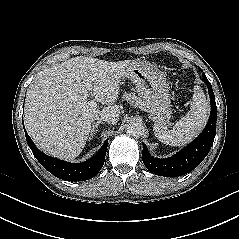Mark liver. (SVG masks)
<instances>
[{
    "label": "liver",
    "instance_id": "1",
    "mask_svg": "<svg viewBox=\"0 0 239 239\" xmlns=\"http://www.w3.org/2000/svg\"><path fill=\"white\" fill-rule=\"evenodd\" d=\"M130 63L78 56L39 72L27 91L24 111L26 130L39 149L74 160L88 140L95 116L108 115L116 123L120 110L114 103ZM89 96L108 107H91Z\"/></svg>",
    "mask_w": 239,
    "mask_h": 239
}]
</instances>
